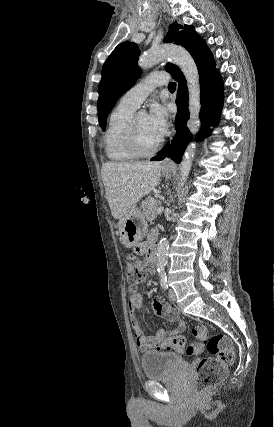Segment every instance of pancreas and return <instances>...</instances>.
<instances>
[{
    "label": "pancreas",
    "instance_id": "1",
    "mask_svg": "<svg viewBox=\"0 0 274 427\" xmlns=\"http://www.w3.org/2000/svg\"><path fill=\"white\" fill-rule=\"evenodd\" d=\"M162 202L160 200H156V198H151L148 196L144 202L141 204L143 215H146V219L148 221H153L156 217V210L161 206Z\"/></svg>",
    "mask_w": 274,
    "mask_h": 427
}]
</instances>
